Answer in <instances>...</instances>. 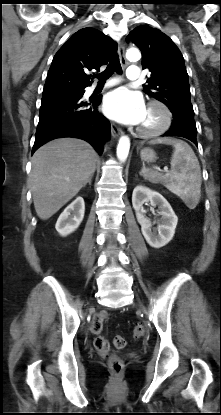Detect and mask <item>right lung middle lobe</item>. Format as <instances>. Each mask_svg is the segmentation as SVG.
Listing matches in <instances>:
<instances>
[{"instance_id":"obj_1","label":"right lung middle lobe","mask_w":221,"mask_h":415,"mask_svg":"<svg viewBox=\"0 0 221 415\" xmlns=\"http://www.w3.org/2000/svg\"><path fill=\"white\" fill-rule=\"evenodd\" d=\"M69 92L79 93V92H81V90H80V89H77V90H71V91H69Z\"/></svg>"}]
</instances>
